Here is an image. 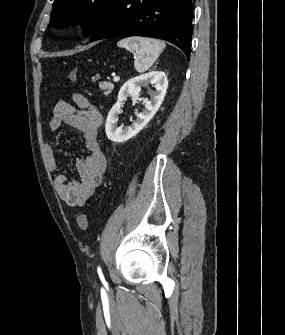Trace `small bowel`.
Listing matches in <instances>:
<instances>
[{
	"label": "small bowel",
	"instance_id": "small-bowel-1",
	"mask_svg": "<svg viewBox=\"0 0 285 335\" xmlns=\"http://www.w3.org/2000/svg\"><path fill=\"white\" fill-rule=\"evenodd\" d=\"M75 105L65 100L56 102L49 122L51 131H57L67 125L80 131L87 155L77 158V181H69L63 174L54 178V185L59 197L69 206L84 205L94 194L102 182L107 167L106 157L98 142V131L103 117L98 108L92 105L82 94L73 96ZM47 162L50 170L59 169L56 149L51 144L45 146Z\"/></svg>",
	"mask_w": 285,
	"mask_h": 335
}]
</instances>
